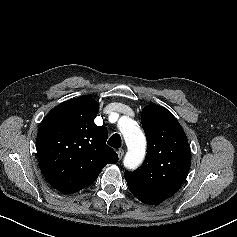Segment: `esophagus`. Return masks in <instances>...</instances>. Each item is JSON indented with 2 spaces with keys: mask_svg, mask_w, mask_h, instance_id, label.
<instances>
[{
  "mask_svg": "<svg viewBox=\"0 0 237 237\" xmlns=\"http://www.w3.org/2000/svg\"><path fill=\"white\" fill-rule=\"evenodd\" d=\"M117 154H118L119 159H121L124 155V150L123 149L117 150Z\"/></svg>",
  "mask_w": 237,
  "mask_h": 237,
  "instance_id": "34e87169",
  "label": "esophagus"
}]
</instances>
